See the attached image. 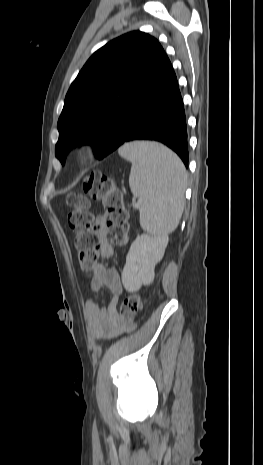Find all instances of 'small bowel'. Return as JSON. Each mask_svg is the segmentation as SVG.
Here are the masks:
<instances>
[{"label":"small bowel","mask_w":263,"mask_h":465,"mask_svg":"<svg viewBox=\"0 0 263 465\" xmlns=\"http://www.w3.org/2000/svg\"><path fill=\"white\" fill-rule=\"evenodd\" d=\"M95 232L99 239V253L102 258L113 256V246L108 240V229L103 225L100 218L97 219ZM105 287L112 293V298L107 305L101 306L95 295ZM90 291L92 297L85 304L84 315L88 320L92 331L98 337L112 338L122 332L121 325H112V319L117 313L119 297L123 292V287L119 273L116 269L98 264L95 267L93 279L90 282ZM140 327V322H130L124 328L129 330L130 334H135V330Z\"/></svg>","instance_id":"1"}]
</instances>
